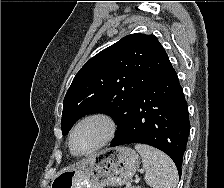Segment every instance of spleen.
Instances as JSON below:
<instances>
[{"label": "spleen", "instance_id": "obj_1", "mask_svg": "<svg viewBox=\"0 0 224 188\" xmlns=\"http://www.w3.org/2000/svg\"><path fill=\"white\" fill-rule=\"evenodd\" d=\"M145 170V181L152 188H176L178 172L172 159L162 151L146 145L136 144Z\"/></svg>", "mask_w": 224, "mask_h": 188}]
</instances>
